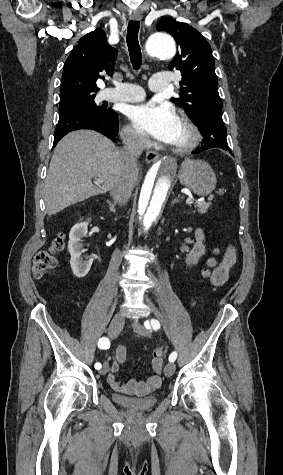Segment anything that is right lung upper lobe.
I'll return each instance as SVG.
<instances>
[{
	"instance_id": "cb5924a9",
	"label": "right lung upper lobe",
	"mask_w": 283,
	"mask_h": 475,
	"mask_svg": "<svg viewBox=\"0 0 283 475\" xmlns=\"http://www.w3.org/2000/svg\"><path fill=\"white\" fill-rule=\"evenodd\" d=\"M117 50L110 46L101 28L79 40L67 58L62 76L61 92L81 91L96 93L97 82L103 74H113Z\"/></svg>"
}]
</instances>
